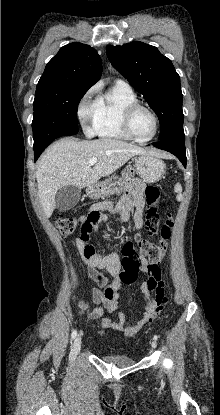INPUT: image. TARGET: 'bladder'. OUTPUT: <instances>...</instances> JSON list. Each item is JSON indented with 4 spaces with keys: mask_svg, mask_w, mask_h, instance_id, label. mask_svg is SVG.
Segmentation results:
<instances>
[{
    "mask_svg": "<svg viewBox=\"0 0 220 415\" xmlns=\"http://www.w3.org/2000/svg\"><path fill=\"white\" fill-rule=\"evenodd\" d=\"M102 359L121 368L130 367L135 363V360L132 357L122 354H105L102 355Z\"/></svg>",
    "mask_w": 220,
    "mask_h": 415,
    "instance_id": "obj_1",
    "label": "bladder"
}]
</instances>
